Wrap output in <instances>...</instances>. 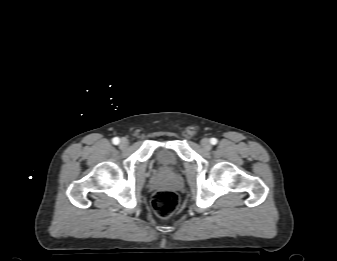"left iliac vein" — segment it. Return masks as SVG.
Here are the masks:
<instances>
[{
    "instance_id": "obj_1",
    "label": "left iliac vein",
    "mask_w": 337,
    "mask_h": 261,
    "mask_svg": "<svg viewBox=\"0 0 337 261\" xmlns=\"http://www.w3.org/2000/svg\"><path fill=\"white\" fill-rule=\"evenodd\" d=\"M201 145H202V147L205 150H210L211 149V143H210L209 139H207V138H203L201 140Z\"/></svg>"
}]
</instances>
